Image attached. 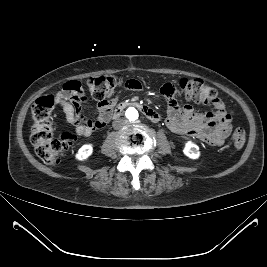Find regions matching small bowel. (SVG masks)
<instances>
[{"label":"small bowel","mask_w":267,"mask_h":267,"mask_svg":"<svg viewBox=\"0 0 267 267\" xmlns=\"http://www.w3.org/2000/svg\"><path fill=\"white\" fill-rule=\"evenodd\" d=\"M127 90L142 89L139 81L130 79L125 83ZM161 95L167 101V127L179 135L197 138L208 145L220 146L230 135L232 115L225 104L216 99L213 102L214 111L207 113L196 112L190 105L177 102L176 85L166 82L160 89ZM65 115L66 121L75 125L78 136L87 137L96 129L102 128L109 120L116 99H112L98 106V119L93 121L82 115V107L87 102L81 83L76 80L66 82L55 96Z\"/></svg>","instance_id":"small-bowel-1"}]
</instances>
